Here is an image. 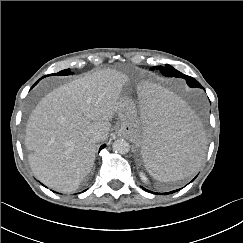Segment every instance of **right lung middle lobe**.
<instances>
[{
    "mask_svg": "<svg viewBox=\"0 0 243 243\" xmlns=\"http://www.w3.org/2000/svg\"><path fill=\"white\" fill-rule=\"evenodd\" d=\"M69 74H71V71L69 69H66V70H62V71H60V72H58L56 74H51V75H58V76H60V75H69Z\"/></svg>",
    "mask_w": 243,
    "mask_h": 243,
    "instance_id": "dd1d6c3e",
    "label": "right lung middle lobe"
}]
</instances>
